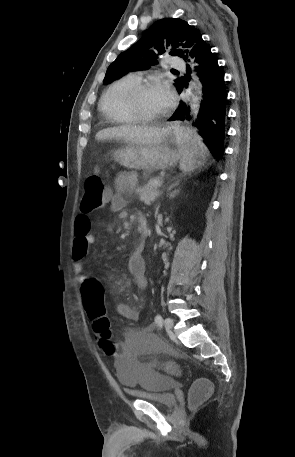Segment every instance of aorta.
Returning a JSON list of instances; mask_svg holds the SVG:
<instances>
[{
    "instance_id": "1",
    "label": "aorta",
    "mask_w": 295,
    "mask_h": 457,
    "mask_svg": "<svg viewBox=\"0 0 295 457\" xmlns=\"http://www.w3.org/2000/svg\"><path fill=\"white\" fill-rule=\"evenodd\" d=\"M195 93L192 94L191 97V102H190V114L193 117V119L197 118V115L199 113V108H200V97L202 95V86L200 83H193Z\"/></svg>"
}]
</instances>
